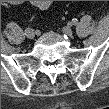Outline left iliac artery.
Here are the masks:
<instances>
[{"label": "left iliac artery", "instance_id": "44dca946", "mask_svg": "<svg viewBox=\"0 0 109 109\" xmlns=\"http://www.w3.org/2000/svg\"><path fill=\"white\" fill-rule=\"evenodd\" d=\"M72 24H73V25H77V24H78V20H77V19H75V18H74V19H72Z\"/></svg>", "mask_w": 109, "mask_h": 109}]
</instances>
